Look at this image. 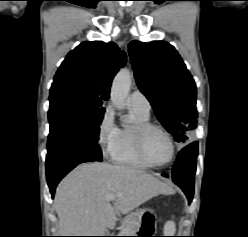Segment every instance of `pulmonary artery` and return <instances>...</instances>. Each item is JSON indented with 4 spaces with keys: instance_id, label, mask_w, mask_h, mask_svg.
Masks as SVG:
<instances>
[{
    "instance_id": "1",
    "label": "pulmonary artery",
    "mask_w": 248,
    "mask_h": 237,
    "mask_svg": "<svg viewBox=\"0 0 248 237\" xmlns=\"http://www.w3.org/2000/svg\"><path fill=\"white\" fill-rule=\"evenodd\" d=\"M128 103L130 107L139 109L145 113H150V102L147 97L139 90H135L130 94Z\"/></svg>"
}]
</instances>
